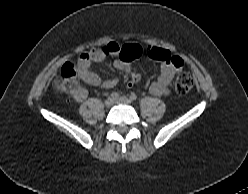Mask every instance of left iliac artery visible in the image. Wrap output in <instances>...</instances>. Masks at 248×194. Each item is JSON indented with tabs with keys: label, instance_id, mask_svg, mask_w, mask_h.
<instances>
[{
	"label": "left iliac artery",
	"instance_id": "1",
	"mask_svg": "<svg viewBox=\"0 0 248 194\" xmlns=\"http://www.w3.org/2000/svg\"><path fill=\"white\" fill-rule=\"evenodd\" d=\"M130 99H131L132 101H135V100L137 99V95H136L135 93H131Z\"/></svg>",
	"mask_w": 248,
	"mask_h": 194
}]
</instances>
